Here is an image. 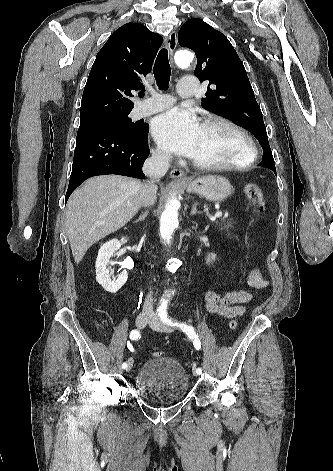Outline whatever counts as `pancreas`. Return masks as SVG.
<instances>
[{"mask_svg": "<svg viewBox=\"0 0 333 471\" xmlns=\"http://www.w3.org/2000/svg\"><path fill=\"white\" fill-rule=\"evenodd\" d=\"M234 220L232 218L224 217L221 221L216 222V227L220 230H230L233 228Z\"/></svg>", "mask_w": 333, "mask_h": 471, "instance_id": "cf45deb5", "label": "pancreas"}]
</instances>
